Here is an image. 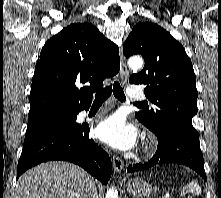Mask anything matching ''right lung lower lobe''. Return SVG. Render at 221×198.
<instances>
[{
	"label": "right lung lower lobe",
	"instance_id": "1",
	"mask_svg": "<svg viewBox=\"0 0 221 198\" xmlns=\"http://www.w3.org/2000/svg\"><path fill=\"white\" fill-rule=\"evenodd\" d=\"M88 134L89 125L82 124L69 129L48 130L25 140L17 178L39 163L63 160L78 164L107 184L111 176V159L102 147L89 139Z\"/></svg>",
	"mask_w": 221,
	"mask_h": 198
}]
</instances>
